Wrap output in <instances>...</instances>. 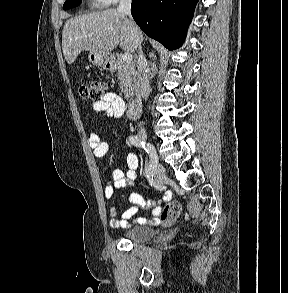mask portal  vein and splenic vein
Masks as SVG:
<instances>
[{
	"label": "portal vein and splenic vein",
	"mask_w": 288,
	"mask_h": 293,
	"mask_svg": "<svg viewBox=\"0 0 288 293\" xmlns=\"http://www.w3.org/2000/svg\"><path fill=\"white\" fill-rule=\"evenodd\" d=\"M121 59L124 61V62H131L133 60V57H132V54L130 53H124L121 55Z\"/></svg>",
	"instance_id": "18ae733b"
}]
</instances>
